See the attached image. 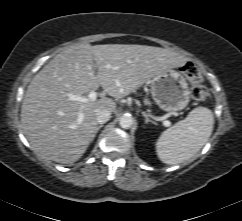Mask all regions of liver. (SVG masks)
Here are the masks:
<instances>
[{
    "mask_svg": "<svg viewBox=\"0 0 242 221\" xmlns=\"http://www.w3.org/2000/svg\"><path fill=\"white\" fill-rule=\"evenodd\" d=\"M186 61L179 53L146 45H71L30 82L21 108L24 134L41 157L74 163L95 137L96 110L114 112L117 105L104 95L84 103L70 100V95L84 96L101 86L103 94L120 99L155 75L181 67Z\"/></svg>",
    "mask_w": 242,
    "mask_h": 221,
    "instance_id": "1",
    "label": "liver"
}]
</instances>
